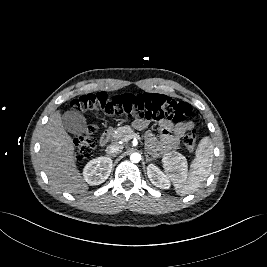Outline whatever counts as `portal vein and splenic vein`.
<instances>
[{"instance_id":"1","label":"portal vein and splenic vein","mask_w":267,"mask_h":267,"mask_svg":"<svg viewBox=\"0 0 267 267\" xmlns=\"http://www.w3.org/2000/svg\"><path fill=\"white\" fill-rule=\"evenodd\" d=\"M132 138H138L137 136H133V135H126L125 138H124V142L132 139Z\"/></svg>"}]
</instances>
